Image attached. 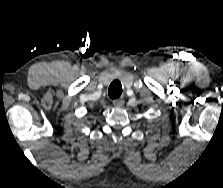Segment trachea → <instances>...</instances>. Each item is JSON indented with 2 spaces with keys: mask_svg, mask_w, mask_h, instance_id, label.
Segmentation results:
<instances>
[{
  "mask_svg": "<svg viewBox=\"0 0 223 188\" xmlns=\"http://www.w3.org/2000/svg\"><path fill=\"white\" fill-rule=\"evenodd\" d=\"M122 94V85L118 80L113 81L108 89V95L111 99H117Z\"/></svg>",
  "mask_w": 223,
  "mask_h": 188,
  "instance_id": "1",
  "label": "trachea"
}]
</instances>
